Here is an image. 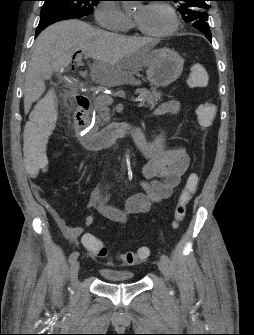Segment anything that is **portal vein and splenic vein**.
Listing matches in <instances>:
<instances>
[{"label": "portal vein and splenic vein", "mask_w": 254, "mask_h": 335, "mask_svg": "<svg viewBox=\"0 0 254 335\" xmlns=\"http://www.w3.org/2000/svg\"><path fill=\"white\" fill-rule=\"evenodd\" d=\"M82 59V55L81 54H78L76 56V61L77 62H80ZM99 100H101L103 103H105L106 105H110L114 102V99L112 96L110 95H107L105 93H100L99 96H98ZM137 103V107H143L144 106V102H143V99L142 98H138L135 100Z\"/></svg>", "instance_id": "obj_1"}]
</instances>
